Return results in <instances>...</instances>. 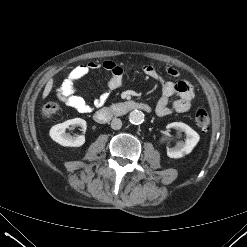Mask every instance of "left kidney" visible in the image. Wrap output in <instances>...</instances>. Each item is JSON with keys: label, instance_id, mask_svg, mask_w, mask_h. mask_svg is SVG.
<instances>
[{"label": "left kidney", "instance_id": "left-kidney-1", "mask_svg": "<svg viewBox=\"0 0 247 247\" xmlns=\"http://www.w3.org/2000/svg\"><path fill=\"white\" fill-rule=\"evenodd\" d=\"M175 128L179 131L186 133L185 143L178 144L175 148L167 147V155L170 158L178 159L192 152L193 148L199 142V134L194 131L190 126L182 122H173L168 124L167 129Z\"/></svg>", "mask_w": 247, "mask_h": 247}]
</instances>
